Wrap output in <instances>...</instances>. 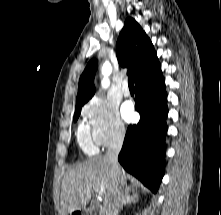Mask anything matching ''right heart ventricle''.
Returning <instances> with one entry per match:
<instances>
[{"label":"right heart ventricle","mask_w":221,"mask_h":215,"mask_svg":"<svg viewBox=\"0 0 221 215\" xmlns=\"http://www.w3.org/2000/svg\"><path fill=\"white\" fill-rule=\"evenodd\" d=\"M78 143L81 149L87 154H93L97 151V144L94 142L89 129L81 125L77 133Z\"/></svg>","instance_id":"e07e8e85"}]
</instances>
